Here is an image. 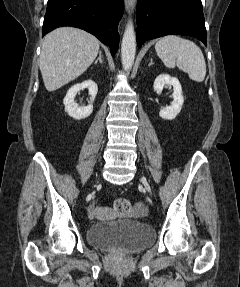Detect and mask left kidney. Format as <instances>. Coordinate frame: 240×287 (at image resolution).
I'll use <instances>...</instances> for the list:
<instances>
[{"mask_svg":"<svg viewBox=\"0 0 240 287\" xmlns=\"http://www.w3.org/2000/svg\"><path fill=\"white\" fill-rule=\"evenodd\" d=\"M165 85L173 86V102L171 106H166L159 112V116L165 120H173L180 113L184 98L182 96V87L179 80L175 77H171L168 74H160L154 81V91L157 94H161Z\"/></svg>","mask_w":240,"mask_h":287,"instance_id":"5707ae66","label":"left kidney"}]
</instances>
